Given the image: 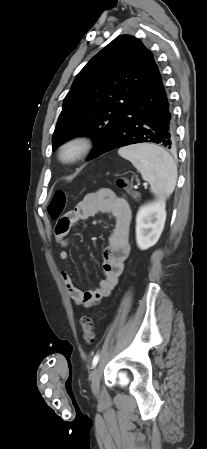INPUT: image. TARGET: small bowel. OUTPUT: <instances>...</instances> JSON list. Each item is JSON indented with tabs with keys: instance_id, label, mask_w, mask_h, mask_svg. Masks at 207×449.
Instances as JSON below:
<instances>
[{
	"instance_id": "small-bowel-1",
	"label": "small bowel",
	"mask_w": 207,
	"mask_h": 449,
	"mask_svg": "<svg viewBox=\"0 0 207 449\" xmlns=\"http://www.w3.org/2000/svg\"><path fill=\"white\" fill-rule=\"evenodd\" d=\"M98 213H104L114 222L113 230L108 238L104 253V277L99 287L90 290H80L72 281L70 275L63 271L62 279L66 290L72 300L80 306L90 307L108 297L117 286L120 275L123 273L125 261L130 253V223L131 209L128 202L109 189H101L87 194L71 211L67 212L57 223L55 228L56 239L62 247H66L67 235L80 221ZM63 261L69 259L68 252L63 249L59 252Z\"/></svg>"
}]
</instances>
